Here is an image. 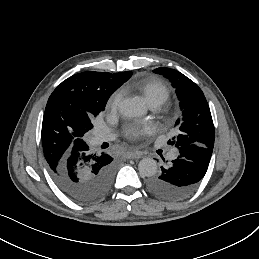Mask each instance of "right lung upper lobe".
<instances>
[{
	"label": "right lung upper lobe",
	"mask_w": 259,
	"mask_h": 259,
	"mask_svg": "<svg viewBox=\"0 0 259 259\" xmlns=\"http://www.w3.org/2000/svg\"><path fill=\"white\" fill-rule=\"evenodd\" d=\"M131 71L82 72L64 80L50 95L42 123V145L50 169H55L72 150L86 144L91 120L104 110L111 94L126 82Z\"/></svg>",
	"instance_id": "cb5924a9"
}]
</instances>
